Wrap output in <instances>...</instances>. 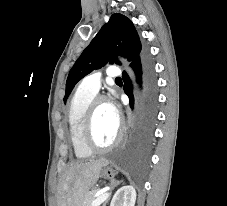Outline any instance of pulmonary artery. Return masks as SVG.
<instances>
[{
    "label": "pulmonary artery",
    "mask_w": 227,
    "mask_h": 206,
    "mask_svg": "<svg viewBox=\"0 0 227 206\" xmlns=\"http://www.w3.org/2000/svg\"><path fill=\"white\" fill-rule=\"evenodd\" d=\"M106 75L109 78H117L121 75V71L116 66H110L106 70ZM100 86H101V73L95 72L86 76L82 80L79 88L84 91L96 94L99 91Z\"/></svg>",
    "instance_id": "obj_1"
}]
</instances>
